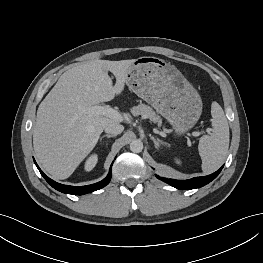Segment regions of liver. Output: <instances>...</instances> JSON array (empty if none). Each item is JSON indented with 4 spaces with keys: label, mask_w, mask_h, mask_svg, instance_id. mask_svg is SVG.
<instances>
[{
    "label": "liver",
    "mask_w": 263,
    "mask_h": 263,
    "mask_svg": "<svg viewBox=\"0 0 263 263\" xmlns=\"http://www.w3.org/2000/svg\"><path fill=\"white\" fill-rule=\"evenodd\" d=\"M134 59L93 60L64 72L40 103L33 128V146L42 167L56 179L70 177L93 150L104 127L118 123L84 110L122 93ZM108 71L113 73V85Z\"/></svg>",
    "instance_id": "1"
}]
</instances>
